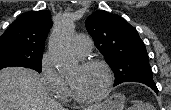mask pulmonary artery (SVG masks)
Segmentation results:
<instances>
[{"instance_id":"obj_1","label":"pulmonary artery","mask_w":171,"mask_h":110,"mask_svg":"<svg viewBox=\"0 0 171 110\" xmlns=\"http://www.w3.org/2000/svg\"><path fill=\"white\" fill-rule=\"evenodd\" d=\"M92 40L83 35H78L73 40V50L77 57H84L90 53L92 49Z\"/></svg>"}]
</instances>
